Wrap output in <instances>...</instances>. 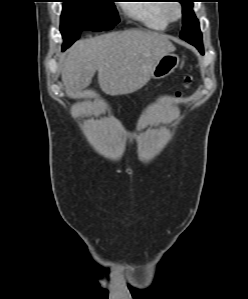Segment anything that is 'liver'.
<instances>
[{
  "label": "liver",
  "instance_id": "1",
  "mask_svg": "<svg viewBox=\"0 0 248 299\" xmlns=\"http://www.w3.org/2000/svg\"><path fill=\"white\" fill-rule=\"evenodd\" d=\"M175 50L164 34L128 29L76 42L62 59L68 96L88 87L95 72L103 92L126 95L148 83L158 61Z\"/></svg>",
  "mask_w": 248,
  "mask_h": 299
}]
</instances>
